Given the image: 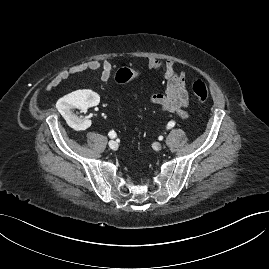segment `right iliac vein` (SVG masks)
Segmentation results:
<instances>
[{
  "label": "right iliac vein",
  "mask_w": 269,
  "mask_h": 269,
  "mask_svg": "<svg viewBox=\"0 0 269 269\" xmlns=\"http://www.w3.org/2000/svg\"><path fill=\"white\" fill-rule=\"evenodd\" d=\"M109 147L112 150H116L118 148V144H117V142L111 140V141H109Z\"/></svg>",
  "instance_id": "right-iliac-vein-1"
}]
</instances>
